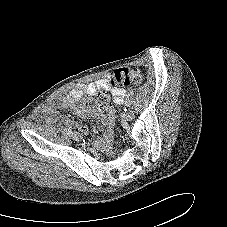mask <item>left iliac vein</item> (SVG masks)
Returning a JSON list of instances; mask_svg holds the SVG:
<instances>
[{
  "label": "left iliac vein",
  "mask_w": 227,
  "mask_h": 227,
  "mask_svg": "<svg viewBox=\"0 0 227 227\" xmlns=\"http://www.w3.org/2000/svg\"><path fill=\"white\" fill-rule=\"evenodd\" d=\"M134 118V112L129 109L126 111V113L124 114V120L125 121H131Z\"/></svg>",
  "instance_id": "1"
}]
</instances>
